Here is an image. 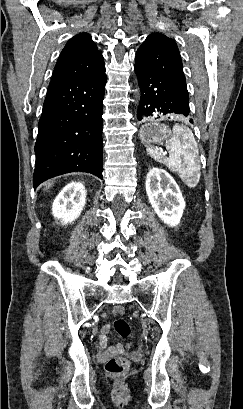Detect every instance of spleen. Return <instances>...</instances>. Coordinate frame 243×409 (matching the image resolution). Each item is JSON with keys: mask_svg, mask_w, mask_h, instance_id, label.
<instances>
[{"mask_svg": "<svg viewBox=\"0 0 243 409\" xmlns=\"http://www.w3.org/2000/svg\"><path fill=\"white\" fill-rule=\"evenodd\" d=\"M169 157L153 147L148 154L156 161L165 164L171 171L177 172L182 181L190 188L196 187L200 180L199 151L192 131L180 124L173 126V136L166 141Z\"/></svg>", "mask_w": 243, "mask_h": 409, "instance_id": "obj_1", "label": "spleen"}]
</instances>
